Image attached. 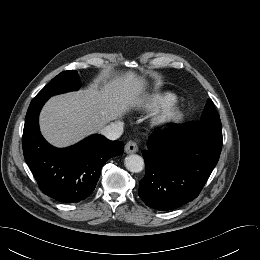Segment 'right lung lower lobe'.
I'll return each instance as SVG.
<instances>
[{"instance_id": "1", "label": "right lung lower lobe", "mask_w": 260, "mask_h": 260, "mask_svg": "<svg viewBox=\"0 0 260 260\" xmlns=\"http://www.w3.org/2000/svg\"><path fill=\"white\" fill-rule=\"evenodd\" d=\"M49 97H34L23 130V153L42 192L63 203L86 199L95 189L102 166L123 153V142L92 135L82 142L58 149L39 131L38 117Z\"/></svg>"}]
</instances>
